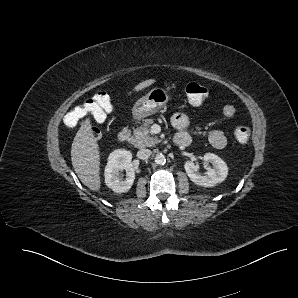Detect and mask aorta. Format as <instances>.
<instances>
[{
	"instance_id": "aorta-1",
	"label": "aorta",
	"mask_w": 298,
	"mask_h": 298,
	"mask_svg": "<svg viewBox=\"0 0 298 298\" xmlns=\"http://www.w3.org/2000/svg\"><path fill=\"white\" fill-rule=\"evenodd\" d=\"M155 163L156 164H164L165 163V156L162 153H158L154 157Z\"/></svg>"
}]
</instances>
